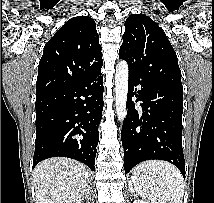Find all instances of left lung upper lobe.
Instances as JSON below:
<instances>
[{"mask_svg": "<svg viewBox=\"0 0 214 203\" xmlns=\"http://www.w3.org/2000/svg\"><path fill=\"white\" fill-rule=\"evenodd\" d=\"M119 58L129 73L183 92L177 55L164 31L148 16L132 14L125 22Z\"/></svg>", "mask_w": 214, "mask_h": 203, "instance_id": "left-lung-upper-lobe-1", "label": "left lung upper lobe"}]
</instances>
